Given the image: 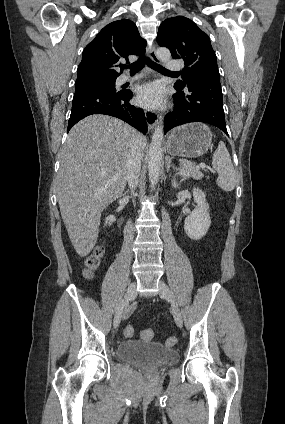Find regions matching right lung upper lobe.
I'll return each instance as SVG.
<instances>
[{
    "label": "right lung upper lobe",
    "mask_w": 285,
    "mask_h": 424,
    "mask_svg": "<svg viewBox=\"0 0 285 424\" xmlns=\"http://www.w3.org/2000/svg\"><path fill=\"white\" fill-rule=\"evenodd\" d=\"M145 45L133 21L122 19L108 24L85 47L76 84L116 80L119 61L128 62V55L143 54Z\"/></svg>",
    "instance_id": "right-lung-upper-lobe-1"
}]
</instances>
